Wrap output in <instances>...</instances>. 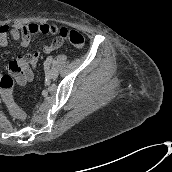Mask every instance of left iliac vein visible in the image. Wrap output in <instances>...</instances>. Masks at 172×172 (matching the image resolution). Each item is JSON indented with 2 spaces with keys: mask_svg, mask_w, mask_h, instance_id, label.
Masks as SVG:
<instances>
[{
  "mask_svg": "<svg viewBox=\"0 0 172 172\" xmlns=\"http://www.w3.org/2000/svg\"><path fill=\"white\" fill-rule=\"evenodd\" d=\"M49 63L45 64V68L47 69V75L50 79H56L58 77V71L55 68L48 69Z\"/></svg>",
  "mask_w": 172,
  "mask_h": 172,
  "instance_id": "obj_1",
  "label": "left iliac vein"
}]
</instances>
